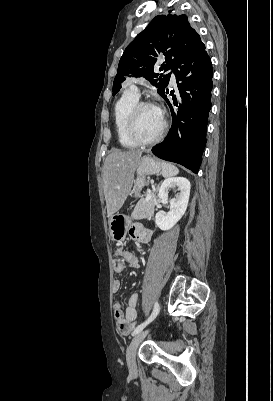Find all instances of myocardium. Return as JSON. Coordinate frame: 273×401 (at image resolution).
Instances as JSON below:
<instances>
[{"mask_svg": "<svg viewBox=\"0 0 273 401\" xmlns=\"http://www.w3.org/2000/svg\"><path fill=\"white\" fill-rule=\"evenodd\" d=\"M142 107H151V108L156 109V107L152 103L145 102V101L138 102L131 109V111L128 115V118L125 123V133H126V136L128 137V139H130L134 143H137L138 145H141V146L152 145V144L159 142L164 137V135L166 134L167 129H168V124H167V121L165 119H163L162 129L156 136H154L153 138H149V139H144V138L140 137L138 135V133L136 132V116H137L138 111Z\"/></svg>", "mask_w": 273, "mask_h": 401, "instance_id": "f54148a6", "label": "myocardium"}]
</instances>
